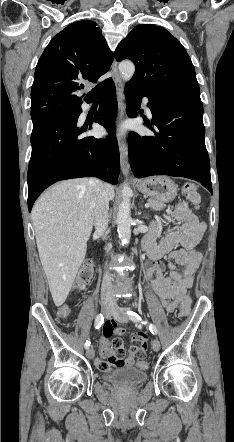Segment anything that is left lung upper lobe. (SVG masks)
<instances>
[{
  "instance_id": "left-lung-upper-lobe-1",
  "label": "left lung upper lobe",
  "mask_w": 234,
  "mask_h": 442,
  "mask_svg": "<svg viewBox=\"0 0 234 442\" xmlns=\"http://www.w3.org/2000/svg\"><path fill=\"white\" fill-rule=\"evenodd\" d=\"M115 58L117 61L130 59L135 64V74L126 85L152 95L200 97L189 55L181 43L160 26H136L118 45Z\"/></svg>"
}]
</instances>
